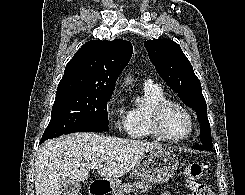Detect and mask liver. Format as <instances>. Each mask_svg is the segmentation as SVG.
<instances>
[{"instance_id":"6515ba94","label":"liver","mask_w":245,"mask_h":195,"mask_svg":"<svg viewBox=\"0 0 245 195\" xmlns=\"http://www.w3.org/2000/svg\"><path fill=\"white\" fill-rule=\"evenodd\" d=\"M161 145L94 133L77 132L48 140L37 151L34 183L36 195H61L66 183L87 180L89 171L118 178L132 170L146 152Z\"/></svg>"}]
</instances>
